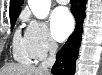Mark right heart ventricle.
<instances>
[{"instance_id":"obj_1","label":"right heart ventricle","mask_w":102,"mask_h":75,"mask_svg":"<svg viewBox=\"0 0 102 75\" xmlns=\"http://www.w3.org/2000/svg\"><path fill=\"white\" fill-rule=\"evenodd\" d=\"M13 56L15 60L23 63H32L34 59L28 48L26 36L20 31H16L14 35Z\"/></svg>"}]
</instances>
